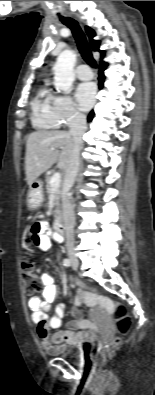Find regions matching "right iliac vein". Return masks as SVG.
<instances>
[{"mask_svg":"<svg viewBox=\"0 0 155 395\" xmlns=\"http://www.w3.org/2000/svg\"><path fill=\"white\" fill-rule=\"evenodd\" d=\"M71 262L73 265H77L79 264L78 259L76 257H71Z\"/></svg>","mask_w":155,"mask_h":395,"instance_id":"obj_1","label":"right iliac vein"}]
</instances>
